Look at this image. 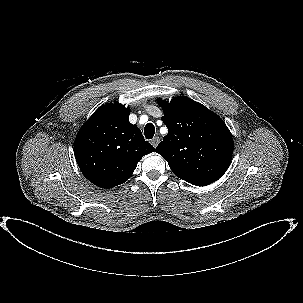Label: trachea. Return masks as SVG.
I'll list each match as a JSON object with an SVG mask.
<instances>
[{"mask_svg":"<svg viewBox=\"0 0 303 303\" xmlns=\"http://www.w3.org/2000/svg\"><path fill=\"white\" fill-rule=\"evenodd\" d=\"M155 134V127L152 123L146 124L144 128V135L146 139H152Z\"/></svg>","mask_w":303,"mask_h":303,"instance_id":"1","label":"trachea"}]
</instances>
